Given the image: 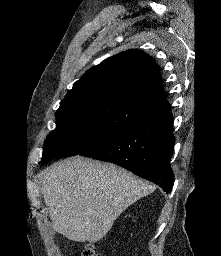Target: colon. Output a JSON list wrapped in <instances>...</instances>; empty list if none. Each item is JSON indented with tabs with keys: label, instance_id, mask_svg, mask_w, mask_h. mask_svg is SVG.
Masks as SVG:
<instances>
[{
	"label": "colon",
	"instance_id": "colon-1",
	"mask_svg": "<svg viewBox=\"0 0 221 256\" xmlns=\"http://www.w3.org/2000/svg\"><path fill=\"white\" fill-rule=\"evenodd\" d=\"M81 256H102V254L98 252L93 245L88 244L81 253Z\"/></svg>",
	"mask_w": 221,
	"mask_h": 256
}]
</instances>
